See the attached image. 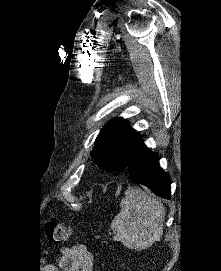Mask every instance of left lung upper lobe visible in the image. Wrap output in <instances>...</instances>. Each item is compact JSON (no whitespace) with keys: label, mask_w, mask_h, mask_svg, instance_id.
Here are the masks:
<instances>
[{"label":"left lung upper lobe","mask_w":221,"mask_h":271,"mask_svg":"<svg viewBox=\"0 0 221 271\" xmlns=\"http://www.w3.org/2000/svg\"><path fill=\"white\" fill-rule=\"evenodd\" d=\"M142 144V137L124 119L115 118L101 129L91 157L103 170L121 171Z\"/></svg>","instance_id":"obj_1"}]
</instances>
